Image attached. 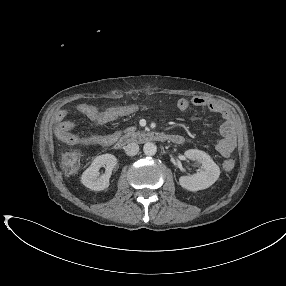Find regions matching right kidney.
I'll return each instance as SVG.
<instances>
[{
    "mask_svg": "<svg viewBox=\"0 0 286 286\" xmlns=\"http://www.w3.org/2000/svg\"><path fill=\"white\" fill-rule=\"evenodd\" d=\"M117 164V159L112 154H102L97 156L91 165L83 172L81 176V183L94 191H102L109 187V179L112 174V170ZM105 167L106 171L99 176L100 167Z\"/></svg>",
    "mask_w": 286,
    "mask_h": 286,
    "instance_id": "right-kidney-1",
    "label": "right kidney"
}]
</instances>
